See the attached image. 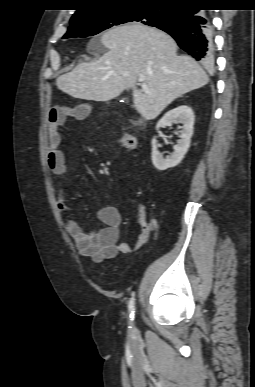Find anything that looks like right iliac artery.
I'll list each match as a JSON object with an SVG mask.
<instances>
[{"mask_svg":"<svg viewBox=\"0 0 255 387\" xmlns=\"http://www.w3.org/2000/svg\"><path fill=\"white\" fill-rule=\"evenodd\" d=\"M134 306H135V300L134 298H131L130 301H129V318L130 320H133L134 319Z\"/></svg>","mask_w":255,"mask_h":387,"instance_id":"right-iliac-artery-1","label":"right iliac artery"}]
</instances>
